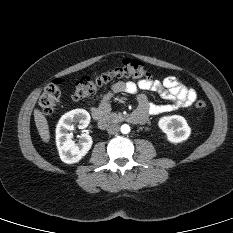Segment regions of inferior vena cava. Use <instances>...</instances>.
<instances>
[{"label":"inferior vena cava","mask_w":233,"mask_h":233,"mask_svg":"<svg viewBox=\"0 0 233 233\" xmlns=\"http://www.w3.org/2000/svg\"><path fill=\"white\" fill-rule=\"evenodd\" d=\"M119 130H120V127L116 123L110 124L107 128V131L109 134H116L119 132Z\"/></svg>","instance_id":"inferior-vena-cava-1"}]
</instances>
